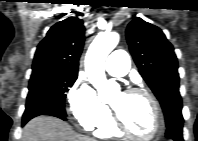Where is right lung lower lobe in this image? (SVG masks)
<instances>
[{
    "instance_id": "98d812e1",
    "label": "right lung lower lobe",
    "mask_w": 198,
    "mask_h": 141,
    "mask_svg": "<svg viewBox=\"0 0 198 141\" xmlns=\"http://www.w3.org/2000/svg\"><path fill=\"white\" fill-rule=\"evenodd\" d=\"M29 113L30 114L27 116V118H23V120H22L23 125H25L33 117H36V116H39V115H50V116L58 117L62 120H66V114L65 113L58 112V111H55V110H51V109H48V108L32 107V108H29Z\"/></svg>"
}]
</instances>
